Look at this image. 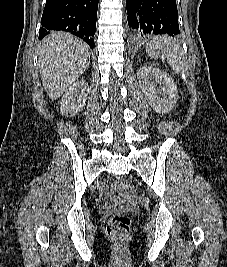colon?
<instances>
[{"mask_svg": "<svg viewBox=\"0 0 227 267\" xmlns=\"http://www.w3.org/2000/svg\"><path fill=\"white\" fill-rule=\"evenodd\" d=\"M110 193L119 204H125L134 198V186L127 179L112 183ZM131 217L128 214H115L107 222V233L113 243L122 249L128 242Z\"/></svg>", "mask_w": 227, "mask_h": 267, "instance_id": "colon-1", "label": "colon"}]
</instances>
